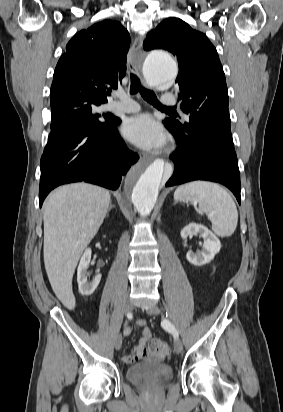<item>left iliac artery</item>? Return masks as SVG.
<instances>
[{"instance_id": "44dca946", "label": "left iliac artery", "mask_w": 283, "mask_h": 412, "mask_svg": "<svg viewBox=\"0 0 283 412\" xmlns=\"http://www.w3.org/2000/svg\"><path fill=\"white\" fill-rule=\"evenodd\" d=\"M163 327L169 332L171 333L175 338H178V331L176 330L175 326L169 322L168 320H163L162 322Z\"/></svg>"}]
</instances>
